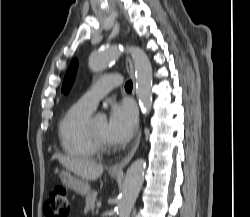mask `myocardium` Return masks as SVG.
<instances>
[{
  "mask_svg": "<svg viewBox=\"0 0 250 217\" xmlns=\"http://www.w3.org/2000/svg\"><path fill=\"white\" fill-rule=\"evenodd\" d=\"M86 132L97 151H107L111 148V145L108 142L104 141L101 137H99L94 131L91 117H89L86 122Z\"/></svg>",
  "mask_w": 250,
  "mask_h": 217,
  "instance_id": "obj_1",
  "label": "myocardium"
}]
</instances>
